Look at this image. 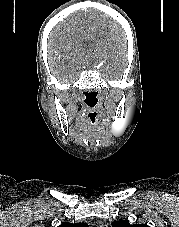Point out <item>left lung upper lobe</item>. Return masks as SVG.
<instances>
[{
	"instance_id": "left-lung-upper-lobe-1",
	"label": "left lung upper lobe",
	"mask_w": 179,
	"mask_h": 227,
	"mask_svg": "<svg viewBox=\"0 0 179 227\" xmlns=\"http://www.w3.org/2000/svg\"><path fill=\"white\" fill-rule=\"evenodd\" d=\"M112 227H149L147 224H129L126 220L112 222Z\"/></svg>"
}]
</instances>
